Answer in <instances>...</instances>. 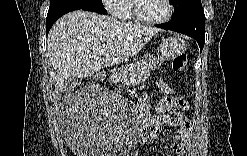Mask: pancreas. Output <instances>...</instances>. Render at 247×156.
<instances>
[{"label":"pancreas","mask_w":247,"mask_h":156,"mask_svg":"<svg viewBox=\"0 0 247 156\" xmlns=\"http://www.w3.org/2000/svg\"><path fill=\"white\" fill-rule=\"evenodd\" d=\"M150 73L151 69L145 63L137 61L114 72L111 79L129 87L145 81Z\"/></svg>","instance_id":"obj_1"}]
</instances>
